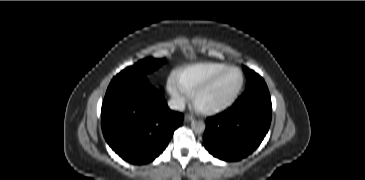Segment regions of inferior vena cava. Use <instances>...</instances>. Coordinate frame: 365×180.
<instances>
[{
  "mask_svg": "<svg viewBox=\"0 0 365 180\" xmlns=\"http://www.w3.org/2000/svg\"><path fill=\"white\" fill-rule=\"evenodd\" d=\"M168 106L172 110L183 111L185 109V101L183 98L176 96L168 101Z\"/></svg>",
  "mask_w": 365,
  "mask_h": 180,
  "instance_id": "602c4592",
  "label": "inferior vena cava"
}]
</instances>
